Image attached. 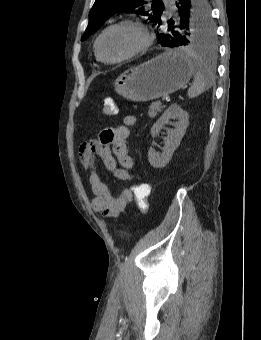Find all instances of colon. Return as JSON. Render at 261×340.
I'll return each instance as SVG.
<instances>
[{
    "label": "colon",
    "mask_w": 261,
    "mask_h": 340,
    "mask_svg": "<svg viewBox=\"0 0 261 340\" xmlns=\"http://www.w3.org/2000/svg\"><path fill=\"white\" fill-rule=\"evenodd\" d=\"M117 113V106L111 98H107L103 103V114L111 116ZM132 194L139 210L143 213L149 209L150 187L147 184H136L132 187Z\"/></svg>",
    "instance_id": "5ec220e1"
}]
</instances>
